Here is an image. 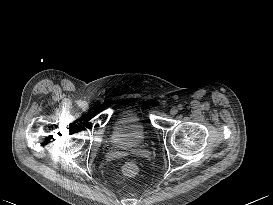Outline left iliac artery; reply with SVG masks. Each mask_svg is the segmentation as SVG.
<instances>
[{
	"instance_id": "left-iliac-artery-1",
	"label": "left iliac artery",
	"mask_w": 273,
	"mask_h": 205,
	"mask_svg": "<svg viewBox=\"0 0 273 205\" xmlns=\"http://www.w3.org/2000/svg\"><path fill=\"white\" fill-rule=\"evenodd\" d=\"M178 109H179V110H182V109H183V105H182V104H179V105H178Z\"/></svg>"
}]
</instances>
